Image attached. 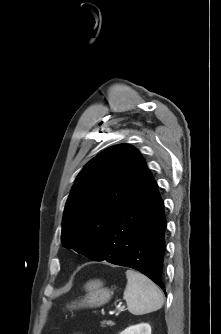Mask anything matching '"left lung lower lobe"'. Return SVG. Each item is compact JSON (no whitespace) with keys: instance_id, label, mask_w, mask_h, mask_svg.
Listing matches in <instances>:
<instances>
[{"instance_id":"obj_1","label":"left lung lower lobe","mask_w":221,"mask_h":334,"mask_svg":"<svg viewBox=\"0 0 221 334\" xmlns=\"http://www.w3.org/2000/svg\"><path fill=\"white\" fill-rule=\"evenodd\" d=\"M164 203L150 171L144 175L107 228L95 261L134 268L165 292ZM166 294V292H165Z\"/></svg>"}]
</instances>
